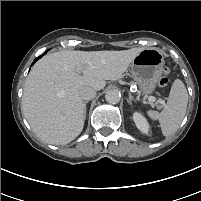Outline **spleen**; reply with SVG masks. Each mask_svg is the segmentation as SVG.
I'll list each match as a JSON object with an SVG mask.
<instances>
[{
	"instance_id": "1",
	"label": "spleen",
	"mask_w": 201,
	"mask_h": 201,
	"mask_svg": "<svg viewBox=\"0 0 201 201\" xmlns=\"http://www.w3.org/2000/svg\"><path fill=\"white\" fill-rule=\"evenodd\" d=\"M188 93L184 83L176 79L171 87L168 106L161 113L153 110L147 112L152 120H158L162 134L170 136L175 133L181 124L187 109Z\"/></svg>"
}]
</instances>
